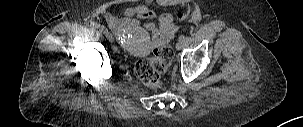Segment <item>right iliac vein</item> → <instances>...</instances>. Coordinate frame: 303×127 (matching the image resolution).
Segmentation results:
<instances>
[{"mask_svg": "<svg viewBox=\"0 0 303 127\" xmlns=\"http://www.w3.org/2000/svg\"><path fill=\"white\" fill-rule=\"evenodd\" d=\"M105 36L110 42H112L114 40L112 34L109 32L105 33Z\"/></svg>", "mask_w": 303, "mask_h": 127, "instance_id": "63e3f726", "label": "right iliac vein"}]
</instances>
